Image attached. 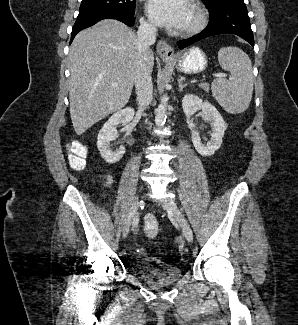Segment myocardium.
I'll return each instance as SVG.
<instances>
[{
	"label": "myocardium",
	"instance_id": "f54148a6",
	"mask_svg": "<svg viewBox=\"0 0 298 325\" xmlns=\"http://www.w3.org/2000/svg\"><path fill=\"white\" fill-rule=\"evenodd\" d=\"M194 16V21L192 23V25L182 31H178L176 34L177 35H192L195 34L197 32H199L200 30H202V28L205 25V18L204 15L202 13V11L200 10V8L196 5V3L192 0H190L187 4ZM150 71V68L147 69V73Z\"/></svg>",
	"mask_w": 298,
	"mask_h": 325
}]
</instances>
